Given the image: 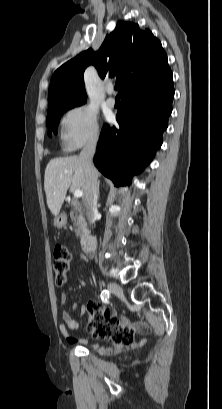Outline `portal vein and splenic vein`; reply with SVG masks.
I'll use <instances>...</instances> for the list:
<instances>
[{
    "instance_id": "18ae733b",
    "label": "portal vein and splenic vein",
    "mask_w": 222,
    "mask_h": 409,
    "mask_svg": "<svg viewBox=\"0 0 222 409\" xmlns=\"http://www.w3.org/2000/svg\"><path fill=\"white\" fill-rule=\"evenodd\" d=\"M83 195V192L81 190H75L74 191V197L75 198H81Z\"/></svg>"
}]
</instances>
